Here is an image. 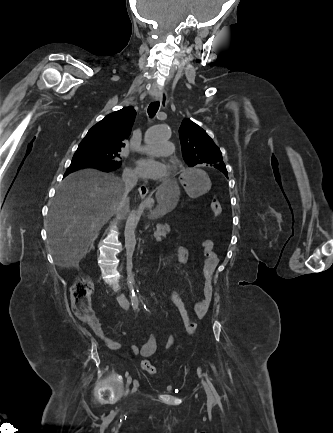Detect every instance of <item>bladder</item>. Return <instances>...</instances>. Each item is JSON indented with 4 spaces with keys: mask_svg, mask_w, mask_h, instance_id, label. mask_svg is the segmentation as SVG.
<instances>
[{
    "mask_svg": "<svg viewBox=\"0 0 333 433\" xmlns=\"http://www.w3.org/2000/svg\"><path fill=\"white\" fill-rule=\"evenodd\" d=\"M166 390H167L168 392H173V391H174V387H172V386H168V387L166 388Z\"/></svg>",
    "mask_w": 333,
    "mask_h": 433,
    "instance_id": "obj_1",
    "label": "bladder"
}]
</instances>
